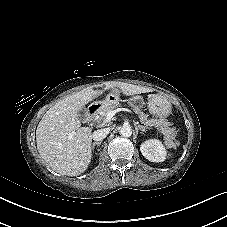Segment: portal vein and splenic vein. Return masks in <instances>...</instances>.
<instances>
[{"mask_svg": "<svg viewBox=\"0 0 227 227\" xmlns=\"http://www.w3.org/2000/svg\"><path fill=\"white\" fill-rule=\"evenodd\" d=\"M120 111H127V112H128V109H125V108H117V109H115V110H112V111L108 112V114H107V116H106V121L109 122V121L112 119V117H113L116 113H118V112H120Z\"/></svg>", "mask_w": 227, "mask_h": 227, "instance_id": "portal-vein-and-splenic-vein-1", "label": "portal vein and splenic vein"}]
</instances>
